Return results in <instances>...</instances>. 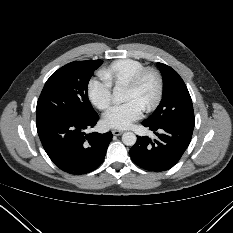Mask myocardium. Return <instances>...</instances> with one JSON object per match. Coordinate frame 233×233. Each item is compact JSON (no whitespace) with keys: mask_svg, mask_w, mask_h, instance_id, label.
<instances>
[{"mask_svg":"<svg viewBox=\"0 0 233 233\" xmlns=\"http://www.w3.org/2000/svg\"><path fill=\"white\" fill-rule=\"evenodd\" d=\"M147 76H152L156 83L154 99L144 108L146 112L155 110L162 101L164 94V80L159 70L153 67H144L136 72L126 83V87L138 89Z\"/></svg>","mask_w":233,"mask_h":233,"instance_id":"1","label":"myocardium"}]
</instances>
